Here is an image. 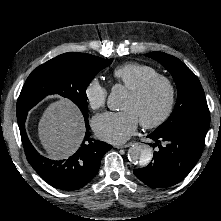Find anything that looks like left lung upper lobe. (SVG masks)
Returning a JSON list of instances; mask_svg holds the SVG:
<instances>
[{
    "mask_svg": "<svg viewBox=\"0 0 221 221\" xmlns=\"http://www.w3.org/2000/svg\"><path fill=\"white\" fill-rule=\"evenodd\" d=\"M161 63L173 76L178 97L170 117L154 132L174 134L191 131L205 136L210 124V115L203 88L196 75L178 58L163 52L146 54Z\"/></svg>",
    "mask_w": 221,
    "mask_h": 221,
    "instance_id": "1",
    "label": "left lung upper lobe"
}]
</instances>
